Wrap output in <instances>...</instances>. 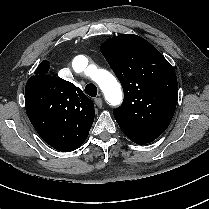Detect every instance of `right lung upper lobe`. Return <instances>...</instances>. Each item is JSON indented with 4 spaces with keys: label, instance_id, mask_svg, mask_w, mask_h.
<instances>
[{
    "label": "right lung upper lobe",
    "instance_id": "1",
    "mask_svg": "<svg viewBox=\"0 0 209 209\" xmlns=\"http://www.w3.org/2000/svg\"><path fill=\"white\" fill-rule=\"evenodd\" d=\"M44 60L25 86V108L38 134H52L73 151L86 140L93 124L94 104L73 83L48 74Z\"/></svg>",
    "mask_w": 209,
    "mask_h": 209
}]
</instances>
